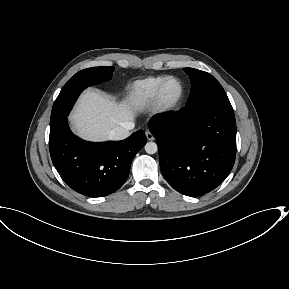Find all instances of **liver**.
<instances>
[{"label": "liver", "mask_w": 289, "mask_h": 289, "mask_svg": "<svg viewBox=\"0 0 289 289\" xmlns=\"http://www.w3.org/2000/svg\"><path fill=\"white\" fill-rule=\"evenodd\" d=\"M134 117L129 103H117L96 90H86L70 115L76 134L89 141L109 139L111 130L132 122Z\"/></svg>", "instance_id": "liver-1"}]
</instances>
